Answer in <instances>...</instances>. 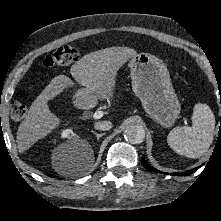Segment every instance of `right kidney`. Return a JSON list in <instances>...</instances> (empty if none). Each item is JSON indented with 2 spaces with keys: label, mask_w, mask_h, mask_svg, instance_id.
Returning <instances> with one entry per match:
<instances>
[{
  "label": "right kidney",
  "mask_w": 221,
  "mask_h": 221,
  "mask_svg": "<svg viewBox=\"0 0 221 221\" xmlns=\"http://www.w3.org/2000/svg\"><path fill=\"white\" fill-rule=\"evenodd\" d=\"M76 137H78V136L71 129H64L61 132V138L72 139V138H76Z\"/></svg>",
  "instance_id": "ca27d5eb"
}]
</instances>
